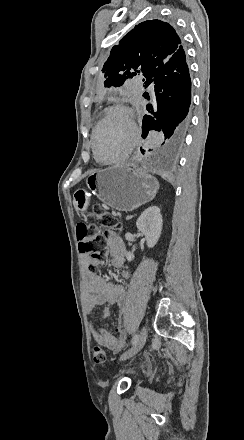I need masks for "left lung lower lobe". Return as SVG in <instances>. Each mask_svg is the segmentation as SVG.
<instances>
[{"label": "left lung lower lobe", "instance_id": "obj_1", "mask_svg": "<svg viewBox=\"0 0 244 440\" xmlns=\"http://www.w3.org/2000/svg\"><path fill=\"white\" fill-rule=\"evenodd\" d=\"M151 82L155 93L146 105L142 137L146 138L151 130L163 131L165 138L157 152L171 154L183 145L191 124V80L186 57L172 66H163L145 87ZM143 96L149 99L148 94Z\"/></svg>", "mask_w": 244, "mask_h": 440}]
</instances>
